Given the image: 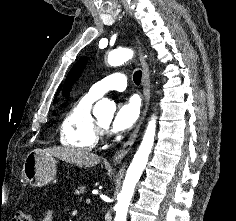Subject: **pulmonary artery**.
Here are the masks:
<instances>
[{
    "instance_id": "e3ab8cb5",
    "label": "pulmonary artery",
    "mask_w": 236,
    "mask_h": 221,
    "mask_svg": "<svg viewBox=\"0 0 236 221\" xmlns=\"http://www.w3.org/2000/svg\"><path fill=\"white\" fill-rule=\"evenodd\" d=\"M127 86V77L123 72L112 73L102 80L95 83L89 90L88 94L97 99L102 97L108 91H124Z\"/></svg>"
}]
</instances>
